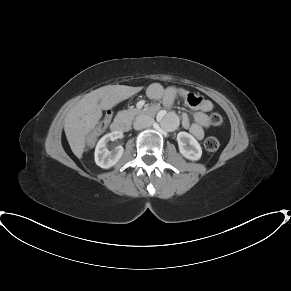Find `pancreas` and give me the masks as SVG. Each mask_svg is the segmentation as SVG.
Instances as JSON below:
<instances>
[{
    "instance_id": "1",
    "label": "pancreas",
    "mask_w": 291,
    "mask_h": 291,
    "mask_svg": "<svg viewBox=\"0 0 291 291\" xmlns=\"http://www.w3.org/2000/svg\"><path fill=\"white\" fill-rule=\"evenodd\" d=\"M141 110L136 108H131L128 110H123L117 114V116L123 120L132 121L135 116L139 115Z\"/></svg>"
}]
</instances>
